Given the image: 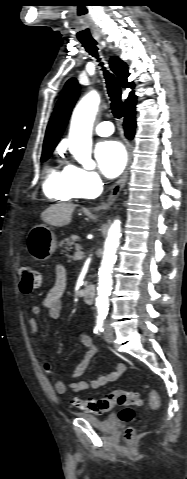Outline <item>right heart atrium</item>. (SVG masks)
I'll use <instances>...</instances> for the list:
<instances>
[{
  "mask_svg": "<svg viewBox=\"0 0 187 479\" xmlns=\"http://www.w3.org/2000/svg\"><path fill=\"white\" fill-rule=\"evenodd\" d=\"M68 170L79 197L91 198L100 192L103 181L96 171L75 165H69Z\"/></svg>",
  "mask_w": 187,
  "mask_h": 479,
  "instance_id": "right-heart-atrium-1",
  "label": "right heart atrium"
}]
</instances>
